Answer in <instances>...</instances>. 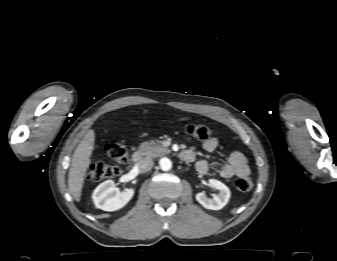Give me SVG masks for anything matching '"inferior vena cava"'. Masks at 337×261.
<instances>
[{
    "mask_svg": "<svg viewBox=\"0 0 337 261\" xmlns=\"http://www.w3.org/2000/svg\"><path fill=\"white\" fill-rule=\"evenodd\" d=\"M153 165H154V162L150 158H143L137 163V167L142 172H146L150 170Z\"/></svg>",
    "mask_w": 337,
    "mask_h": 261,
    "instance_id": "1",
    "label": "inferior vena cava"
}]
</instances>
